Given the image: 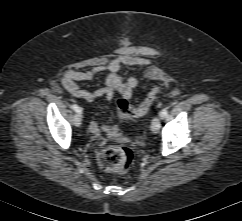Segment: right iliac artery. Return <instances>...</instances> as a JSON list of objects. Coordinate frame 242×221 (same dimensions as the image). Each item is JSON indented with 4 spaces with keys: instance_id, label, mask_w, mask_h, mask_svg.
Here are the masks:
<instances>
[{
    "instance_id": "82829eb1",
    "label": "right iliac artery",
    "mask_w": 242,
    "mask_h": 221,
    "mask_svg": "<svg viewBox=\"0 0 242 221\" xmlns=\"http://www.w3.org/2000/svg\"><path fill=\"white\" fill-rule=\"evenodd\" d=\"M72 109L77 112L80 113L82 112L81 108L77 105V104H72Z\"/></svg>"
}]
</instances>
